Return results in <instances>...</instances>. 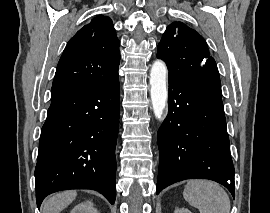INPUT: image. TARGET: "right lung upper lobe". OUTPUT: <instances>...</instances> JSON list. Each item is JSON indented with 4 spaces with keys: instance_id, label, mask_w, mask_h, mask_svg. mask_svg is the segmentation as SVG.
<instances>
[{
    "instance_id": "1",
    "label": "right lung upper lobe",
    "mask_w": 270,
    "mask_h": 213,
    "mask_svg": "<svg viewBox=\"0 0 270 213\" xmlns=\"http://www.w3.org/2000/svg\"><path fill=\"white\" fill-rule=\"evenodd\" d=\"M119 40L109 17L96 16L67 43L59 60L51 97L83 91L118 76Z\"/></svg>"
}]
</instances>
